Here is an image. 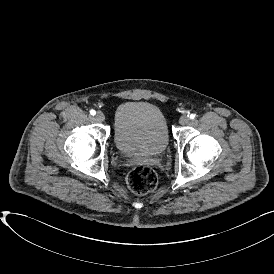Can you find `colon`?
Masks as SVG:
<instances>
[{
    "mask_svg": "<svg viewBox=\"0 0 274 274\" xmlns=\"http://www.w3.org/2000/svg\"><path fill=\"white\" fill-rule=\"evenodd\" d=\"M157 185L155 172L147 167L133 169L127 177V186L135 194L145 195Z\"/></svg>",
    "mask_w": 274,
    "mask_h": 274,
    "instance_id": "5ec220e1",
    "label": "colon"
}]
</instances>
